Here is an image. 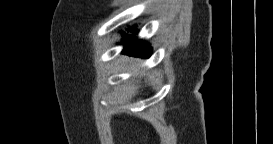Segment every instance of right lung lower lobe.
<instances>
[{
    "label": "right lung lower lobe",
    "mask_w": 273,
    "mask_h": 144,
    "mask_svg": "<svg viewBox=\"0 0 273 144\" xmlns=\"http://www.w3.org/2000/svg\"><path fill=\"white\" fill-rule=\"evenodd\" d=\"M134 33L133 35L123 34V44H125V48L123 53L133 56H139L142 58L149 57L151 55V47L144 42H141L136 39L135 34L137 31L135 27L131 29Z\"/></svg>",
    "instance_id": "1"
}]
</instances>
